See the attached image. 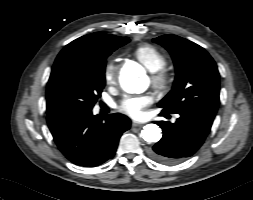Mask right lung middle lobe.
<instances>
[{
    "label": "right lung middle lobe",
    "instance_id": "dd1d6c3e",
    "mask_svg": "<svg viewBox=\"0 0 253 200\" xmlns=\"http://www.w3.org/2000/svg\"><path fill=\"white\" fill-rule=\"evenodd\" d=\"M128 42L120 37L94 57L57 58L47 84L48 115L91 111L105 86L106 58Z\"/></svg>",
    "mask_w": 253,
    "mask_h": 200
}]
</instances>
